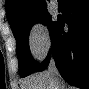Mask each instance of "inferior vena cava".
Wrapping results in <instances>:
<instances>
[{
    "label": "inferior vena cava",
    "mask_w": 89,
    "mask_h": 89,
    "mask_svg": "<svg viewBox=\"0 0 89 89\" xmlns=\"http://www.w3.org/2000/svg\"><path fill=\"white\" fill-rule=\"evenodd\" d=\"M48 71L51 74L59 75L58 70H57L56 65H55V61L53 59H51V61H50V64H49V67H48Z\"/></svg>",
    "instance_id": "obj_1"
}]
</instances>
